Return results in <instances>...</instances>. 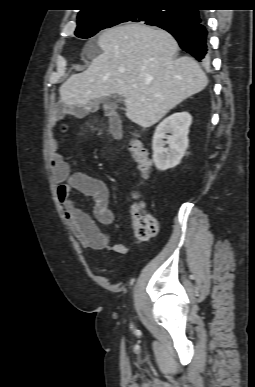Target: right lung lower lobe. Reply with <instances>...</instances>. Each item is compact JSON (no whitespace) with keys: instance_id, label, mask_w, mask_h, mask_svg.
Here are the masks:
<instances>
[{"instance_id":"1","label":"right lung lower lobe","mask_w":255,"mask_h":387,"mask_svg":"<svg viewBox=\"0 0 255 387\" xmlns=\"http://www.w3.org/2000/svg\"><path fill=\"white\" fill-rule=\"evenodd\" d=\"M181 20L163 24L160 28L168 31L178 41L182 50L192 55L197 61H209L208 32L201 10L184 6L178 8Z\"/></svg>"}]
</instances>
